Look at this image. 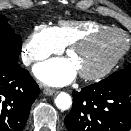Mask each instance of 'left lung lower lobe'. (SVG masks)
<instances>
[{
    "label": "left lung lower lobe",
    "mask_w": 131,
    "mask_h": 131,
    "mask_svg": "<svg viewBox=\"0 0 131 131\" xmlns=\"http://www.w3.org/2000/svg\"><path fill=\"white\" fill-rule=\"evenodd\" d=\"M64 122L68 131L130 130L131 83L100 81L74 91Z\"/></svg>",
    "instance_id": "obj_1"
}]
</instances>
